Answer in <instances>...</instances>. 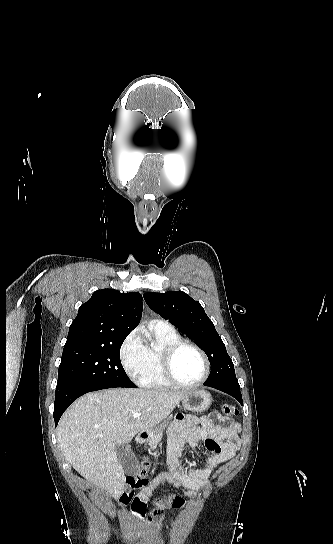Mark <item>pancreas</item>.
<instances>
[{
    "label": "pancreas",
    "instance_id": "obj_1",
    "mask_svg": "<svg viewBox=\"0 0 333 544\" xmlns=\"http://www.w3.org/2000/svg\"><path fill=\"white\" fill-rule=\"evenodd\" d=\"M162 436H163L162 430L156 431L155 433L150 435V437L147 439V442L150 446L149 451L153 450L156 447V445L161 441Z\"/></svg>",
    "mask_w": 333,
    "mask_h": 544
}]
</instances>
